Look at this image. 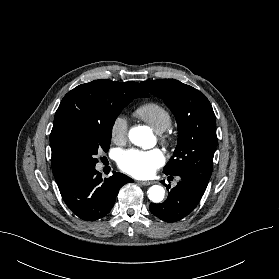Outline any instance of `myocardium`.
<instances>
[{
    "mask_svg": "<svg viewBox=\"0 0 279 279\" xmlns=\"http://www.w3.org/2000/svg\"><path fill=\"white\" fill-rule=\"evenodd\" d=\"M159 138L163 144H169L171 141V137H170L169 133L166 131L159 132Z\"/></svg>",
    "mask_w": 279,
    "mask_h": 279,
    "instance_id": "myocardium-1",
    "label": "myocardium"
}]
</instances>
